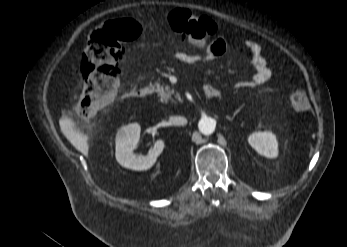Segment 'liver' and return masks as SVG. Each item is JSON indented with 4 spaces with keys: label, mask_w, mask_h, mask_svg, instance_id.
<instances>
[{
    "label": "liver",
    "mask_w": 347,
    "mask_h": 247,
    "mask_svg": "<svg viewBox=\"0 0 347 247\" xmlns=\"http://www.w3.org/2000/svg\"><path fill=\"white\" fill-rule=\"evenodd\" d=\"M74 123L70 118H64L62 120V128L64 131L68 132L70 135H72V139L75 143L76 148L82 152L84 155L88 154V136L84 135L81 132H78L74 128Z\"/></svg>",
    "instance_id": "1"
}]
</instances>
